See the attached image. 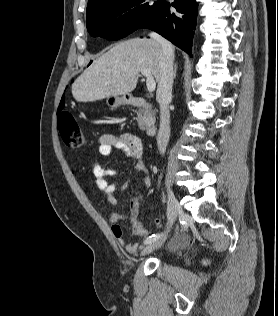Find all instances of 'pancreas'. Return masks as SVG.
Listing matches in <instances>:
<instances>
[{
	"label": "pancreas",
	"instance_id": "1",
	"mask_svg": "<svg viewBox=\"0 0 278 316\" xmlns=\"http://www.w3.org/2000/svg\"><path fill=\"white\" fill-rule=\"evenodd\" d=\"M137 121L141 130H146L155 123V110L151 105L137 111Z\"/></svg>",
	"mask_w": 278,
	"mask_h": 316
}]
</instances>
